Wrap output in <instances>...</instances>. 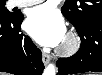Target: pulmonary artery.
<instances>
[{
  "label": "pulmonary artery",
  "instance_id": "obj_1",
  "mask_svg": "<svg viewBox=\"0 0 102 75\" xmlns=\"http://www.w3.org/2000/svg\"><path fill=\"white\" fill-rule=\"evenodd\" d=\"M44 0H16V2L20 5H27L32 3H41Z\"/></svg>",
  "mask_w": 102,
  "mask_h": 75
}]
</instances>
